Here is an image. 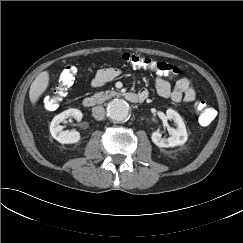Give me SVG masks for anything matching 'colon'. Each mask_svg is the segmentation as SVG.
I'll return each instance as SVG.
<instances>
[{"label": "colon", "instance_id": "obj_1", "mask_svg": "<svg viewBox=\"0 0 243 243\" xmlns=\"http://www.w3.org/2000/svg\"><path fill=\"white\" fill-rule=\"evenodd\" d=\"M123 62L137 68L150 69L160 75L175 77L179 73V68L163 61H154L148 57L138 54L124 53L121 56ZM78 69L75 66H66L59 75V84L53 94L44 99L47 109H55L66 96L69 87L74 83ZM195 110L199 114V121L203 125L210 124L216 116L215 110L205 101H198Z\"/></svg>", "mask_w": 243, "mask_h": 243}]
</instances>
